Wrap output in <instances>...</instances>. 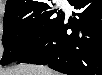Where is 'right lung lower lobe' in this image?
<instances>
[{
    "label": "right lung lower lobe",
    "mask_w": 102,
    "mask_h": 75,
    "mask_svg": "<svg viewBox=\"0 0 102 75\" xmlns=\"http://www.w3.org/2000/svg\"><path fill=\"white\" fill-rule=\"evenodd\" d=\"M78 19L65 18L32 52L17 63L48 65L68 75H102V1L69 0ZM71 29L72 33L67 34Z\"/></svg>",
    "instance_id": "1"
}]
</instances>
